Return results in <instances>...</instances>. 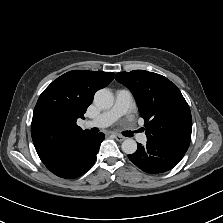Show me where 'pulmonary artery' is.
<instances>
[{"instance_id":"e3ab8cb5","label":"pulmonary artery","mask_w":223,"mask_h":223,"mask_svg":"<svg viewBox=\"0 0 223 223\" xmlns=\"http://www.w3.org/2000/svg\"><path fill=\"white\" fill-rule=\"evenodd\" d=\"M133 103L131 93L127 89H118L115 92V101L113 106L86 122L87 127L105 128L112 125L118 118L126 114ZM134 137L140 145L148 144L149 139L144 132L139 131Z\"/></svg>"}]
</instances>
